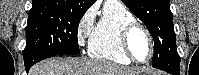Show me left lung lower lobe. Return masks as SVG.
<instances>
[{"instance_id":"1","label":"left lung lower lobe","mask_w":199,"mask_h":75,"mask_svg":"<svg viewBox=\"0 0 199 75\" xmlns=\"http://www.w3.org/2000/svg\"><path fill=\"white\" fill-rule=\"evenodd\" d=\"M153 67L166 71L172 75H179L180 74V57L177 54L172 59H169L168 61L162 64H157Z\"/></svg>"}]
</instances>
